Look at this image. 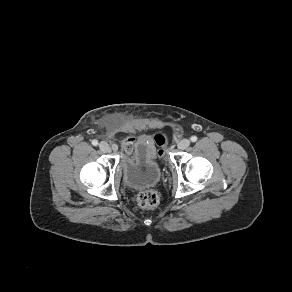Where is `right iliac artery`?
Wrapping results in <instances>:
<instances>
[{
	"label": "right iliac artery",
	"instance_id": "right-iliac-artery-1",
	"mask_svg": "<svg viewBox=\"0 0 292 292\" xmlns=\"http://www.w3.org/2000/svg\"><path fill=\"white\" fill-rule=\"evenodd\" d=\"M92 144H93L94 146H97V145H98V141H97V140H92Z\"/></svg>",
	"mask_w": 292,
	"mask_h": 292
}]
</instances>
